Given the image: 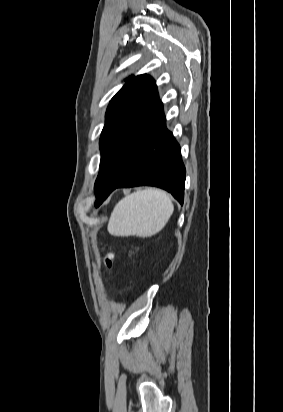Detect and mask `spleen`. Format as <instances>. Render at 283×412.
Here are the masks:
<instances>
[{"instance_id": "3e777b00", "label": "spleen", "mask_w": 283, "mask_h": 412, "mask_svg": "<svg viewBox=\"0 0 283 412\" xmlns=\"http://www.w3.org/2000/svg\"><path fill=\"white\" fill-rule=\"evenodd\" d=\"M173 211V203L164 191H137L116 204L107 230L113 236L150 237L164 228Z\"/></svg>"}]
</instances>
